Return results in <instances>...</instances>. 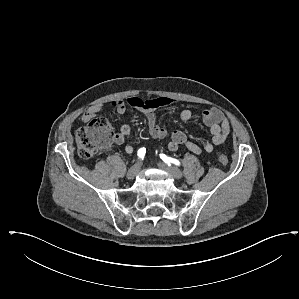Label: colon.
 I'll return each mask as SVG.
<instances>
[{
    "label": "colon",
    "mask_w": 299,
    "mask_h": 299,
    "mask_svg": "<svg viewBox=\"0 0 299 299\" xmlns=\"http://www.w3.org/2000/svg\"><path fill=\"white\" fill-rule=\"evenodd\" d=\"M117 134L114 133L109 121L103 117H94L75 132L78 156L82 160L92 158L98 152L110 148L116 141ZM222 165L228 164L225 155H219Z\"/></svg>",
    "instance_id": "colon-1"
}]
</instances>
